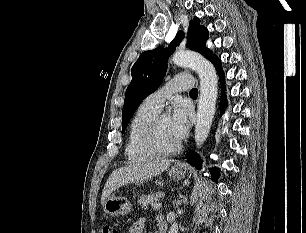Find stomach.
Wrapping results in <instances>:
<instances>
[{
	"label": "stomach",
	"instance_id": "0dacf381",
	"mask_svg": "<svg viewBox=\"0 0 306 233\" xmlns=\"http://www.w3.org/2000/svg\"><path fill=\"white\" fill-rule=\"evenodd\" d=\"M169 175L174 179H181L185 176V171L182 168L173 167L169 170ZM103 209L110 216H121L131 211L132 204L125 197L112 193L104 201Z\"/></svg>",
	"mask_w": 306,
	"mask_h": 233
}]
</instances>
